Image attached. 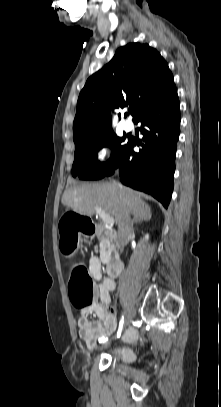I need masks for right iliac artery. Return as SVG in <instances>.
I'll return each mask as SVG.
<instances>
[{"instance_id":"right-iliac-artery-1","label":"right iliac artery","mask_w":221,"mask_h":407,"mask_svg":"<svg viewBox=\"0 0 221 407\" xmlns=\"http://www.w3.org/2000/svg\"><path fill=\"white\" fill-rule=\"evenodd\" d=\"M123 324H124V317L122 316V318L120 320V323H119V329H118V332H117V337H120V335H121V332H122V329H123ZM107 340H108L107 338L102 337V338L99 339V342L104 343Z\"/></svg>"}]
</instances>
